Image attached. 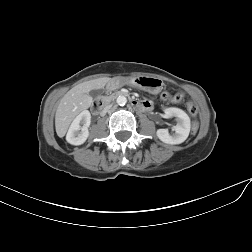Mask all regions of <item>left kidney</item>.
Listing matches in <instances>:
<instances>
[{"label":"left kidney","instance_id":"1","mask_svg":"<svg viewBox=\"0 0 252 252\" xmlns=\"http://www.w3.org/2000/svg\"><path fill=\"white\" fill-rule=\"evenodd\" d=\"M166 117H176L177 124L173 126L174 134L170 135L168 129H158L157 137L167 144H180L184 142L189 136L190 132V118L189 116L179 108H166L164 110Z\"/></svg>","mask_w":252,"mask_h":252}]
</instances>
